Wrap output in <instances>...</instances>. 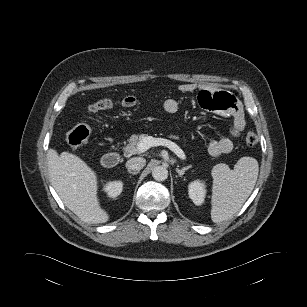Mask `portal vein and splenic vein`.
<instances>
[{"label":"portal vein and splenic vein","mask_w":307,"mask_h":307,"mask_svg":"<svg viewBox=\"0 0 307 307\" xmlns=\"http://www.w3.org/2000/svg\"><path fill=\"white\" fill-rule=\"evenodd\" d=\"M166 146L171 151H173L180 159H186L184 151L174 142L164 139V138H155L152 136H144L138 144V150L140 153H143L150 149L153 146Z\"/></svg>","instance_id":"portal-vein-and-splenic-vein-1"}]
</instances>
